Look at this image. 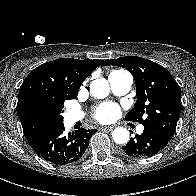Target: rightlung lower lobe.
I'll return each mask as SVG.
<instances>
[{
  "label": "right lung lower lobe",
  "mask_w": 196,
  "mask_h": 196,
  "mask_svg": "<svg viewBox=\"0 0 196 196\" xmlns=\"http://www.w3.org/2000/svg\"><path fill=\"white\" fill-rule=\"evenodd\" d=\"M96 129H80L64 134V125H58L37 136L30 146L35 153L56 165H64L79 160L89 146Z\"/></svg>",
  "instance_id": "1"
}]
</instances>
